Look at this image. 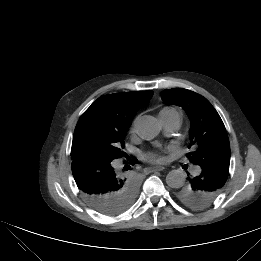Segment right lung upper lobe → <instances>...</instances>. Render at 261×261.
Listing matches in <instances>:
<instances>
[{
    "mask_svg": "<svg viewBox=\"0 0 261 261\" xmlns=\"http://www.w3.org/2000/svg\"><path fill=\"white\" fill-rule=\"evenodd\" d=\"M153 96L152 91L127 92L103 95L88 109L108 120L130 127L133 117Z\"/></svg>",
    "mask_w": 261,
    "mask_h": 261,
    "instance_id": "cb5924a9",
    "label": "right lung upper lobe"
}]
</instances>
